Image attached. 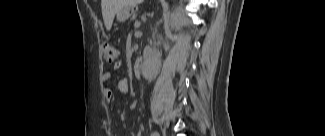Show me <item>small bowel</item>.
<instances>
[{"label": "small bowel", "instance_id": "1", "mask_svg": "<svg viewBox=\"0 0 325 136\" xmlns=\"http://www.w3.org/2000/svg\"><path fill=\"white\" fill-rule=\"evenodd\" d=\"M114 68H119V65L115 64ZM111 79L112 75L109 72L103 74L104 82H109ZM117 88L124 95H127L130 92L129 82L126 78H120L118 80ZM103 97L106 102L111 103L114 100V93L109 87H107L103 91Z\"/></svg>", "mask_w": 325, "mask_h": 136}]
</instances>
